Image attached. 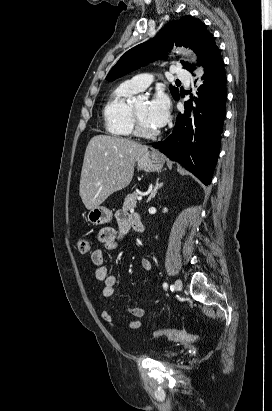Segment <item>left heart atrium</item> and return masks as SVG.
Here are the masks:
<instances>
[{
    "mask_svg": "<svg viewBox=\"0 0 272 411\" xmlns=\"http://www.w3.org/2000/svg\"><path fill=\"white\" fill-rule=\"evenodd\" d=\"M170 103L168 97L158 92L147 106V119L156 128H160L168 120Z\"/></svg>",
    "mask_w": 272,
    "mask_h": 411,
    "instance_id": "obj_1",
    "label": "left heart atrium"
}]
</instances>
